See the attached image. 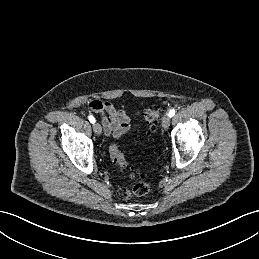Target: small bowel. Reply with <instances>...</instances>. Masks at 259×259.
<instances>
[{
    "instance_id": "small-bowel-1",
    "label": "small bowel",
    "mask_w": 259,
    "mask_h": 259,
    "mask_svg": "<svg viewBox=\"0 0 259 259\" xmlns=\"http://www.w3.org/2000/svg\"><path fill=\"white\" fill-rule=\"evenodd\" d=\"M88 107L101 116L105 134L121 138L130 128L131 119L122 109L108 101L90 100Z\"/></svg>"
}]
</instances>
